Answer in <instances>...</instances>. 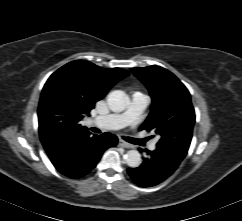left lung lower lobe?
I'll return each mask as SVG.
<instances>
[{
    "mask_svg": "<svg viewBox=\"0 0 242 221\" xmlns=\"http://www.w3.org/2000/svg\"><path fill=\"white\" fill-rule=\"evenodd\" d=\"M142 151V149H140ZM137 168H128L132 180L141 187L155 186L168 178L178 168L185 156L172 149L157 146L149 151Z\"/></svg>",
    "mask_w": 242,
    "mask_h": 221,
    "instance_id": "obj_1",
    "label": "left lung lower lobe"
}]
</instances>
